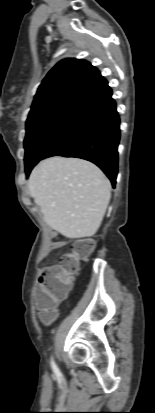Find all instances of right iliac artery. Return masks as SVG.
<instances>
[{
    "mask_svg": "<svg viewBox=\"0 0 155 413\" xmlns=\"http://www.w3.org/2000/svg\"><path fill=\"white\" fill-rule=\"evenodd\" d=\"M51 366H52V369H53L54 373L56 375H60V371H59L58 367L56 366V364L53 360H51Z\"/></svg>",
    "mask_w": 155,
    "mask_h": 413,
    "instance_id": "obj_1",
    "label": "right iliac artery"
}]
</instances>
